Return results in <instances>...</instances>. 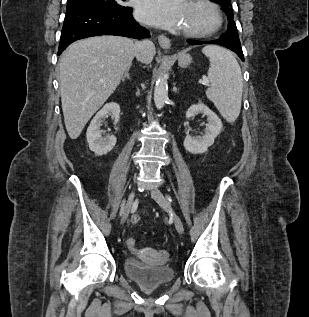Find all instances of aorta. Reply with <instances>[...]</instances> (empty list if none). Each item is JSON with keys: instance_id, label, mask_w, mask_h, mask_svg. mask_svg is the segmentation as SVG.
I'll list each match as a JSON object with an SVG mask.
<instances>
[{"instance_id": "762f6f07", "label": "aorta", "mask_w": 309, "mask_h": 317, "mask_svg": "<svg viewBox=\"0 0 309 317\" xmlns=\"http://www.w3.org/2000/svg\"><path fill=\"white\" fill-rule=\"evenodd\" d=\"M168 99V84L165 75L157 77L154 88V103L157 109L164 107Z\"/></svg>"}]
</instances>
